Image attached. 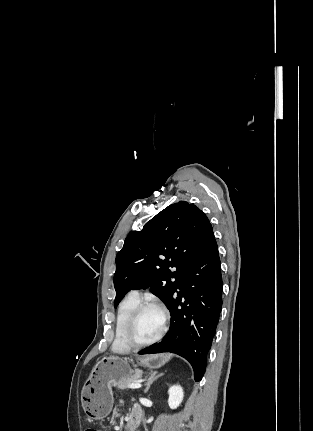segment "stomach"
Wrapping results in <instances>:
<instances>
[{
	"instance_id": "0dacf381",
	"label": "stomach",
	"mask_w": 313,
	"mask_h": 431,
	"mask_svg": "<svg viewBox=\"0 0 313 431\" xmlns=\"http://www.w3.org/2000/svg\"><path fill=\"white\" fill-rule=\"evenodd\" d=\"M171 356L147 355L136 357V364L132 359L109 356L102 358L94 367L82 388L81 402L86 415L91 420L105 418L112 410V387L120 380L134 376L141 370L132 368L142 366L151 369L165 365ZM142 373V372H141Z\"/></svg>"
}]
</instances>
